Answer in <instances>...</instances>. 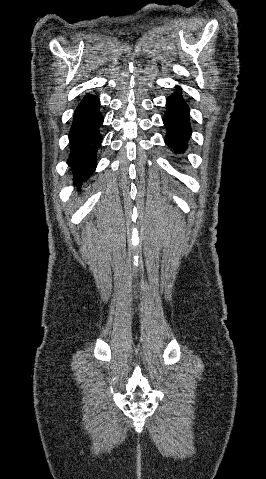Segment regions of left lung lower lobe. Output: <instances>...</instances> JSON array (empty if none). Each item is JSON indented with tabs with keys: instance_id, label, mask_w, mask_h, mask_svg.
Masks as SVG:
<instances>
[{
	"instance_id": "left-lung-lower-lobe-1",
	"label": "left lung lower lobe",
	"mask_w": 266,
	"mask_h": 479,
	"mask_svg": "<svg viewBox=\"0 0 266 479\" xmlns=\"http://www.w3.org/2000/svg\"><path fill=\"white\" fill-rule=\"evenodd\" d=\"M167 111L163 122L167 129L165 143L172 148L174 154L183 157L191 136L189 107L180 92L174 93L166 101Z\"/></svg>"
}]
</instances>
